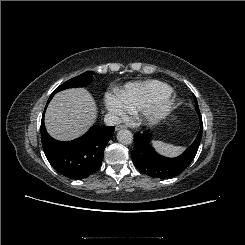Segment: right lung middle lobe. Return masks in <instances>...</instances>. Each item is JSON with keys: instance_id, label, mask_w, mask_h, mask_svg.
<instances>
[{"instance_id": "dd1d6c3e", "label": "right lung middle lobe", "mask_w": 245, "mask_h": 245, "mask_svg": "<svg viewBox=\"0 0 245 245\" xmlns=\"http://www.w3.org/2000/svg\"><path fill=\"white\" fill-rule=\"evenodd\" d=\"M93 74L94 72L88 71L66 81L65 83L57 87L55 91L52 93V95L67 88L83 87L89 84Z\"/></svg>"}]
</instances>
